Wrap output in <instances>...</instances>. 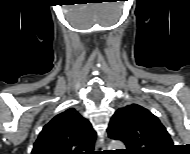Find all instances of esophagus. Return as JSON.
Masks as SVG:
<instances>
[{
	"instance_id": "esophagus-1",
	"label": "esophagus",
	"mask_w": 190,
	"mask_h": 154,
	"mask_svg": "<svg viewBox=\"0 0 190 154\" xmlns=\"http://www.w3.org/2000/svg\"><path fill=\"white\" fill-rule=\"evenodd\" d=\"M105 143L102 141L97 140L95 143V149L98 153H103L105 151Z\"/></svg>"
}]
</instances>
